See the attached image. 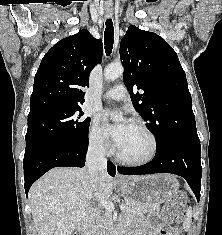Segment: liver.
I'll return each mask as SVG.
<instances>
[{"label": "liver", "mask_w": 222, "mask_h": 235, "mask_svg": "<svg viewBox=\"0 0 222 235\" xmlns=\"http://www.w3.org/2000/svg\"><path fill=\"white\" fill-rule=\"evenodd\" d=\"M130 180L139 176H130ZM114 182L106 171L93 186L86 168L57 167L35 182L29 191L32 218L38 235H71L93 214L91 200H107Z\"/></svg>", "instance_id": "1"}]
</instances>
